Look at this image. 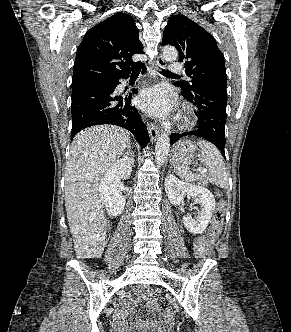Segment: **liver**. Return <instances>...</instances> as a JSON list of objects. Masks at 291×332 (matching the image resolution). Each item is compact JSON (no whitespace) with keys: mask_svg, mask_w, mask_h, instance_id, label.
Here are the masks:
<instances>
[{"mask_svg":"<svg viewBox=\"0 0 291 332\" xmlns=\"http://www.w3.org/2000/svg\"><path fill=\"white\" fill-rule=\"evenodd\" d=\"M129 143L128 132L113 125L87 128L72 141L65 172V207L78 258L103 254L107 222L99 185ZM128 170H132L131 159Z\"/></svg>","mask_w":291,"mask_h":332,"instance_id":"1","label":"liver"}]
</instances>
